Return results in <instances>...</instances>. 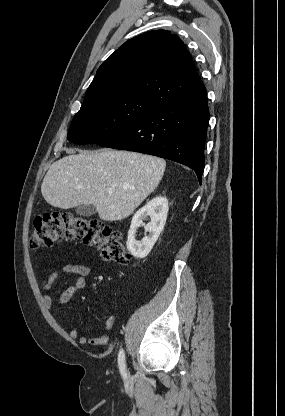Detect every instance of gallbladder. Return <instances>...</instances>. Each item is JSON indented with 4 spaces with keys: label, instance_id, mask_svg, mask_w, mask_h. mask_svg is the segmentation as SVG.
I'll return each mask as SVG.
<instances>
[{
    "label": "gallbladder",
    "instance_id": "obj_1",
    "mask_svg": "<svg viewBox=\"0 0 285 416\" xmlns=\"http://www.w3.org/2000/svg\"><path fill=\"white\" fill-rule=\"evenodd\" d=\"M97 210L92 206V204H89V206H85V204H81V206H78L76 208V214L78 216H85V218H88V216H93V214H96Z\"/></svg>",
    "mask_w": 285,
    "mask_h": 416
}]
</instances>
